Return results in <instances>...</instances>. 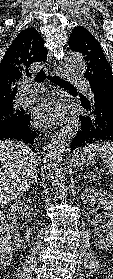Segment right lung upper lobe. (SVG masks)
<instances>
[{
	"instance_id": "1",
	"label": "right lung upper lobe",
	"mask_w": 113,
	"mask_h": 279,
	"mask_svg": "<svg viewBox=\"0 0 113 279\" xmlns=\"http://www.w3.org/2000/svg\"><path fill=\"white\" fill-rule=\"evenodd\" d=\"M43 44V38L37 30L27 28L9 46L0 63V108L14 103L17 83L24 75H31L28 66L45 61L47 49Z\"/></svg>"
}]
</instances>
